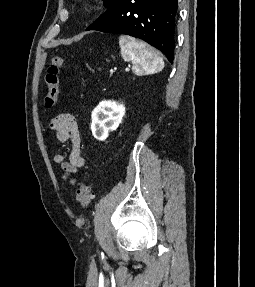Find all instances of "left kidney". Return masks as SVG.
Returning a JSON list of instances; mask_svg holds the SVG:
<instances>
[{"instance_id": "left-kidney-1", "label": "left kidney", "mask_w": 255, "mask_h": 287, "mask_svg": "<svg viewBox=\"0 0 255 287\" xmlns=\"http://www.w3.org/2000/svg\"><path fill=\"white\" fill-rule=\"evenodd\" d=\"M125 114L123 104L104 100L92 112L91 130L97 140H106L111 130H117Z\"/></svg>"}]
</instances>
